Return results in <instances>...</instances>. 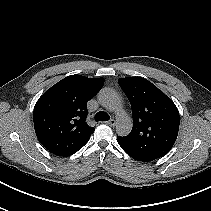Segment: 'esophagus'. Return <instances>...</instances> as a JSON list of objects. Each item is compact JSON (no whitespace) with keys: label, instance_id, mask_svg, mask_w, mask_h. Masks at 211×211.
<instances>
[{"label":"esophagus","instance_id":"1","mask_svg":"<svg viewBox=\"0 0 211 211\" xmlns=\"http://www.w3.org/2000/svg\"><path fill=\"white\" fill-rule=\"evenodd\" d=\"M108 125H110V126H115V124H116V120L115 119H111V120H109L108 122H106Z\"/></svg>","mask_w":211,"mask_h":211}]
</instances>
